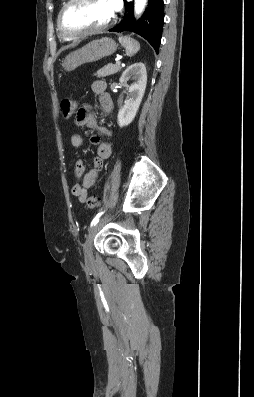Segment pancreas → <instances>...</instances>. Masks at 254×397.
<instances>
[{"instance_id": "1", "label": "pancreas", "mask_w": 254, "mask_h": 397, "mask_svg": "<svg viewBox=\"0 0 254 397\" xmlns=\"http://www.w3.org/2000/svg\"><path fill=\"white\" fill-rule=\"evenodd\" d=\"M120 70H121V67H120L119 65H115V64L109 63L108 65H105L104 67H102L101 69H99V70L96 72L95 75H96L98 78H100V77H106V76H109V75H113V74L119 72Z\"/></svg>"}]
</instances>
